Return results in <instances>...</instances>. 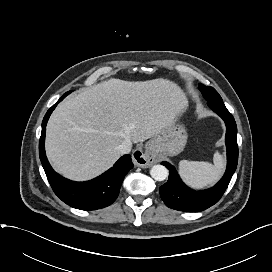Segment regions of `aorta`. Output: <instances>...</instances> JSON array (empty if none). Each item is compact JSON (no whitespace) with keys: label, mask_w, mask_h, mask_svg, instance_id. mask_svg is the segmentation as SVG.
<instances>
[{"label":"aorta","mask_w":272,"mask_h":272,"mask_svg":"<svg viewBox=\"0 0 272 272\" xmlns=\"http://www.w3.org/2000/svg\"><path fill=\"white\" fill-rule=\"evenodd\" d=\"M150 175L156 181H164L168 177V170L163 165H154L150 170Z\"/></svg>","instance_id":"obj_1"}]
</instances>
